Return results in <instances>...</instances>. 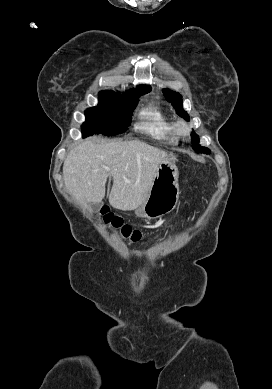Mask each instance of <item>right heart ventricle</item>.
<instances>
[{
  "instance_id": "obj_1",
  "label": "right heart ventricle",
  "mask_w": 272,
  "mask_h": 389,
  "mask_svg": "<svg viewBox=\"0 0 272 389\" xmlns=\"http://www.w3.org/2000/svg\"><path fill=\"white\" fill-rule=\"evenodd\" d=\"M141 131L156 139L176 141L175 124L171 117L156 105H148L139 112Z\"/></svg>"
}]
</instances>
